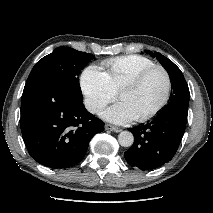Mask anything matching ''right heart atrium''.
<instances>
[{
	"label": "right heart atrium",
	"instance_id": "1",
	"mask_svg": "<svg viewBox=\"0 0 213 213\" xmlns=\"http://www.w3.org/2000/svg\"><path fill=\"white\" fill-rule=\"evenodd\" d=\"M80 87L85 106L91 113L99 112L116 98L106 74L95 65H89L82 71Z\"/></svg>",
	"mask_w": 213,
	"mask_h": 213
}]
</instances>
